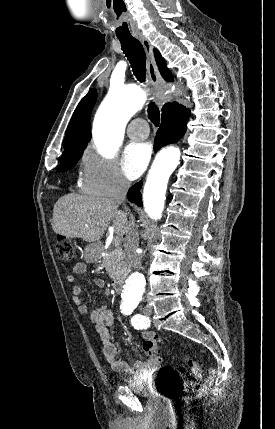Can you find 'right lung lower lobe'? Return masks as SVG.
Instances as JSON below:
<instances>
[{
    "label": "right lung lower lobe",
    "instance_id": "1",
    "mask_svg": "<svg viewBox=\"0 0 275 429\" xmlns=\"http://www.w3.org/2000/svg\"><path fill=\"white\" fill-rule=\"evenodd\" d=\"M190 117V111L183 105L173 103L162 115V123L156 134L155 151L161 147L177 142L186 132V124ZM142 182L132 186L127 194L128 200L142 206L140 189Z\"/></svg>",
    "mask_w": 275,
    "mask_h": 429
}]
</instances>
